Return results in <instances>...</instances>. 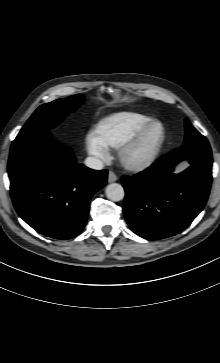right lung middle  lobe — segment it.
Here are the masks:
<instances>
[{
	"label": "right lung middle lobe",
	"instance_id": "obj_1",
	"mask_svg": "<svg viewBox=\"0 0 220 363\" xmlns=\"http://www.w3.org/2000/svg\"><path fill=\"white\" fill-rule=\"evenodd\" d=\"M83 101L84 96L78 94L41 105L23 126L13 141L11 149H15L21 143L36 135L48 132L51 128L58 125L65 115L74 111Z\"/></svg>",
	"mask_w": 220,
	"mask_h": 363
}]
</instances>
